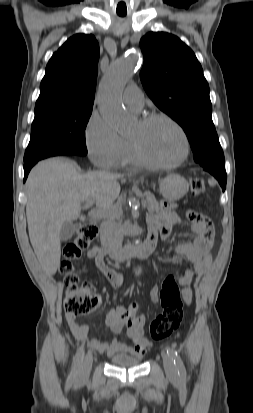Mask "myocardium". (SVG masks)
Returning <instances> with one entry per match:
<instances>
[{
	"label": "myocardium",
	"instance_id": "obj_1",
	"mask_svg": "<svg viewBox=\"0 0 253 413\" xmlns=\"http://www.w3.org/2000/svg\"><path fill=\"white\" fill-rule=\"evenodd\" d=\"M157 120H164L168 123H170L180 134L182 141H183V151L181 156L174 162H170V163H160L157 161H154L152 159H150L145 152L143 151L141 145L139 144V142L135 139L130 140L133 150L137 156V158L140 160V162L143 165H146L148 167H152V168H156V169H173L176 168L180 165H182L188 158L189 153H190V141L189 138L187 136V133L185 132L184 128L172 117H170L167 114H163V113H154V114H150L147 115L143 118L140 119V124L143 126H146L154 121Z\"/></svg>",
	"mask_w": 253,
	"mask_h": 413
}]
</instances>
